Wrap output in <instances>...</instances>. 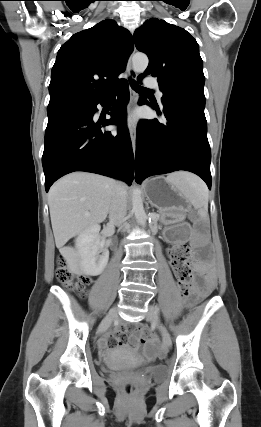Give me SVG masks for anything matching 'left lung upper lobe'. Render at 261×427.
Listing matches in <instances>:
<instances>
[{"label":"left lung upper lobe","instance_id":"5c2ea615","mask_svg":"<svg viewBox=\"0 0 261 427\" xmlns=\"http://www.w3.org/2000/svg\"><path fill=\"white\" fill-rule=\"evenodd\" d=\"M134 42L149 58L147 69L138 78L157 77L162 100L181 93L205 98L199 46L185 29L151 18L135 31Z\"/></svg>","mask_w":261,"mask_h":427}]
</instances>
